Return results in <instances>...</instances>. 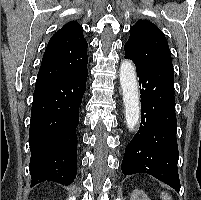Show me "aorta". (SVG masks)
I'll return each mask as SVG.
<instances>
[{
	"mask_svg": "<svg viewBox=\"0 0 201 200\" xmlns=\"http://www.w3.org/2000/svg\"><path fill=\"white\" fill-rule=\"evenodd\" d=\"M120 84L123 92L126 124L128 129L133 131L140 117V101L136 70L130 60H124L121 63Z\"/></svg>",
	"mask_w": 201,
	"mask_h": 200,
	"instance_id": "762f6f07",
	"label": "aorta"
}]
</instances>
